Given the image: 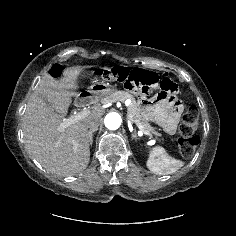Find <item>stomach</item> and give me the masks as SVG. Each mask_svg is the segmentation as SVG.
I'll return each mask as SVG.
<instances>
[{
    "mask_svg": "<svg viewBox=\"0 0 236 236\" xmlns=\"http://www.w3.org/2000/svg\"><path fill=\"white\" fill-rule=\"evenodd\" d=\"M116 91V87L109 83L96 82L90 86V89L87 90L89 96H94L96 98H104ZM80 96L83 93L79 94Z\"/></svg>",
    "mask_w": 236,
    "mask_h": 236,
    "instance_id": "1",
    "label": "stomach"
}]
</instances>
